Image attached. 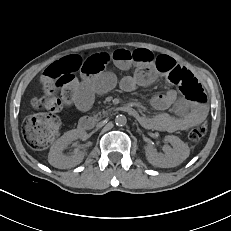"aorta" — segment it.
<instances>
[{"label": "aorta", "mask_w": 231, "mask_h": 231, "mask_svg": "<svg viewBox=\"0 0 231 231\" xmlns=\"http://www.w3.org/2000/svg\"><path fill=\"white\" fill-rule=\"evenodd\" d=\"M127 123V118L125 115L119 114L115 117V124L117 126H124Z\"/></svg>", "instance_id": "762f6f07"}]
</instances>
